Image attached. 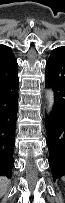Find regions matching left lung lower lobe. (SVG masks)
I'll list each match as a JSON object with an SVG mask.
<instances>
[{
    "instance_id": "0a47b994",
    "label": "left lung lower lobe",
    "mask_w": 65,
    "mask_h": 203,
    "mask_svg": "<svg viewBox=\"0 0 65 203\" xmlns=\"http://www.w3.org/2000/svg\"><path fill=\"white\" fill-rule=\"evenodd\" d=\"M46 85L55 93L50 118H46L49 165L54 180L65 176V47L54 49L46 64Z\"/></svg>"
}]
</instances>
